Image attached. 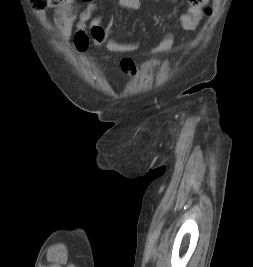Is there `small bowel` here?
Segmentation results:
<instances>
[{"label":"small bowel","mask_w":253,"mask_h":267,"mask_svg":"<svg viewBox=\"0 0 253 267\" xmlns=\"http://www.w3.org/2000/svg\"><path fill=\"white\" fill-rule=\"evenodd\" d=\"M188 7L185 13L180 15L173 23L176 27H182L190 30L194 29L200 21L203 9L209 0H186ZM118 6L133 11L141 7V0H116ZM82 8L76 3V0L62 7L57 8L54 15V23L58 29L62 41L69 45L73 38V44L79 51L87 49L90 43V28L101 26V19L96 15L98 6L95 0H81ZM44 18V14L41 13ZM75 27V30H73ZM105 30L109 35L106 48L115 53H130L139 48V42L123 43L112 36V25H108ZM174 43V35L171 31H166L164 37L152 47V52L156 54L169 51Z\"/></svg>","instance_id":"c3829d8e"}]
</instances>
